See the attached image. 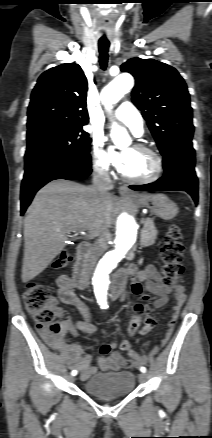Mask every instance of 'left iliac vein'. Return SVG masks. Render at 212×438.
Segmentation results:
<instances>
[{
    "label": "left iliac vein",
    "mask_w": 212,
    "mask_h": 438,
    "mask_svg": "<svg viewBox=\"0 0 212 438\" xmlns=\"http://www.w3.org/2000/svg\"><path fill=\"white\" fill-rule=\"evenodd\" d=\"M139 380H140V382H145L147 380V374L146 373H140L139 374Z\"/></svg>",
    "instance_id": "left-iliac-vein-1"
}]
</instances>
